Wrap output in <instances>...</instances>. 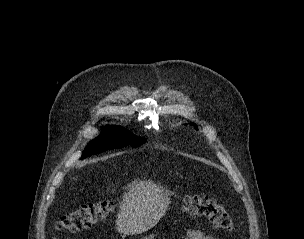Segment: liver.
Instances as JSON below:
<instances>
[{
  "mask_svg": "<svg viewBox=\"0 0 304 239\" xmlns=\"http://www.w3.org/2000/svg\"><path fill=\"white\" fill-rule=\"evenodd\" d=\"M171 192L150 180L136 181L123 194L116 219L118 232L135 235L154 227L165 215Z\"/></svg>",
  "mask_w": 304,
  "mask_h": 239,
  "instance_id": "obj_1",
  "label": "liver"
}]
</instances>
